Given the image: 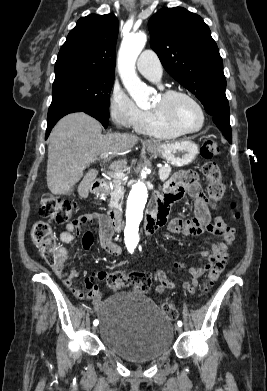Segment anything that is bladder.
<instances>
[{
  "instance_id": "1",
  "label": "bladder",
  "mask_w": 267,
  "mask_h": 391,
  "mask_svg": "<svg viewBox=\"0 0 267 391\" xmlns=\"http://www.w3.org/2000/svg\"><path fill=\"white\" fill-rule=\"evenodd\" d=\"M97 314L102 344L125 360L152 361L172 348V322L141 293H115L101 304Z\"/></svg>"
}]
</instances>
